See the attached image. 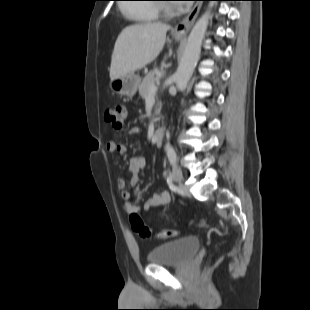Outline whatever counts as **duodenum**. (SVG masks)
I'll list each match as a JSON object with an SVG mask.
<instances>
[{"instance_id":"1","label":"duodenum","mask_w":310,"mask_h":310,"mask_svg":"<svg viewBox=\"0 0 310 310\" xmlns=\"http://www.w3.org/2000/svg\"><path fill=\"white\" fill-rule=\"evenodd\" d=\"M165 130L158 129L153 134V142L156 146H161L164 140Z\"/></svg>"}]
</instances>
